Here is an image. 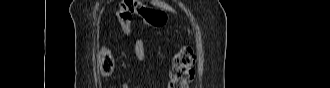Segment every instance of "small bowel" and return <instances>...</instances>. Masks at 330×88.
Here are the masks:
<instances>
[{
    "label": "small bowel",
    "mask_w": 330,
    "mask_h": 88,
    "mask_svg": "<svg viewBox=\"0 0 330 88\" xmlns=\"http://www.w3.org/2000/svg\"><path fill=\"white\" fill-rule=\"evenodd\" d=\"M134 53L139 61H141V62L147 61V53L145 51L144 41L142 38H137L134 41ZM123 87H126V86H123Z\"/></svg>",
    "instance_id": "obj_1"
}]
</instances>
